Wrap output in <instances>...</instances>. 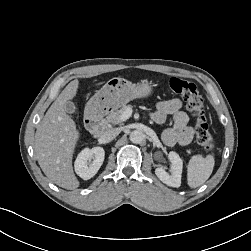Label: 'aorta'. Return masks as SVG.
Here are the masks:
<instances>
[{
    "label": "aorta",
    "instance_id": "aorta-1",
    "mask_svg": "<svg viewBox=\"0 0 251 251\" xmlns=\"http://www.w3.org/2000/svg\"><path fill=\"white\" fill-rule=\"evenodd\" d=\"M144 137V133L140 130H133L129 136L130 141L135 144L141 143L144 140Z\"/></svg>",
    "mask_w": 251,
    "mask_h": 251
}]
</instances>
